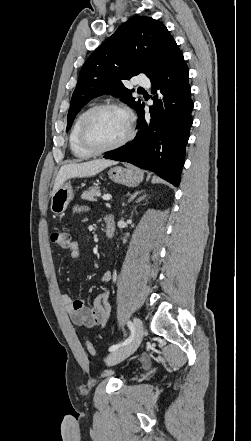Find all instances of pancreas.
<instances>
[{
    "label": "pancreas",
    "instance_id": "cf45deb5",
    "mask_svg": "<svg viewBox=\"0 0 251 441\" xmlns=\"http://www.w3.org/2000/svg\"><path fill=\"white\" fill-rule=\"evenodd\" d=\"M100 194V189L98 186L90 187L83 192L81 198L89 201H97V196Z\"/></svg>",
    "mask_w": 251,
    "mask_h": 441
}]
</instances>
